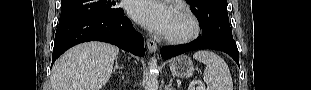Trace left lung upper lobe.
<instances>
[{
    "instance_id": "1",
    "label": "left lung upper lobe",
    "mask_w": 311,
    "mask_h": 90,
    "mask_svg": "<svg viewBox=\"0 0 311 90\" xmlns=\"http://www.w3.org/2000/svg\"><path fill=\"white\" fill-rule=\"evenodd\" d=\"M191 11L202 25V35L221 34L232 37L226 0H188Z\"/></svg>"
}]
</instances>
